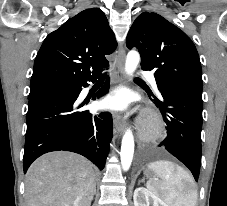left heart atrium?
<instances>
[{"label":"left heart atrium","mask_w":227,"mask_h":206,"mask_svg":"<svg viewBox=\"0 0 227 206\" xmlns=\"http://www.w3.org/2000/svg\"><path fill=\"white\" fill-rule=\"evenodd\" d=\"M102 103L107 109L124 111L128 108L129 98L124 90L117 89L108 94Z\"/></svg>","instance_id":"39dd6f15"}]
</instances>
